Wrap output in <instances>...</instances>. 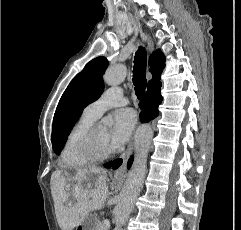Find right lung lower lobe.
<instances>
[{
	"label": "right lung lower lobe",
	"instance_id": "1",
	"mask_svg": "<svg viewBox=\"0 0 241 230\" xmlns=\"http://www.w3.org/2000/svg\"><path fill=\"white\" fill-rule=\"evenodd\" d=\"M161 82L158 80L148 85V90L143 101L139 103L142 110L140 119L143 123L148 122L158 116V106L162 102Z\"/></svg>",
	"mask_w": 241,
	"mask_h": 230
}]
</instances>
